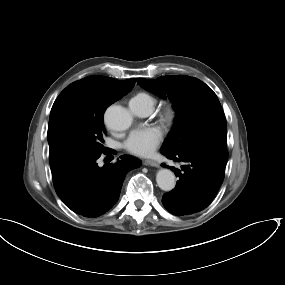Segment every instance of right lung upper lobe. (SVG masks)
Segmentation results:
<instances>
[{"mask_svg": "<svg viewBox=\"0 0 285 285\" xmlns=\"http://www.w3.org/2000/svg\"><path fill=\"white\" fill-rule=\"evenodd\" d=\"M84 84L102 89L111 98L119 100L130 92L136 82L135 78L129 80H116L105 76H89L79 80Z\"/></svg>", "mask_w": 285, "mask_h": 285, "instance_id": "obj_1", "label": "right lung upper lobe"}]
</instances>
